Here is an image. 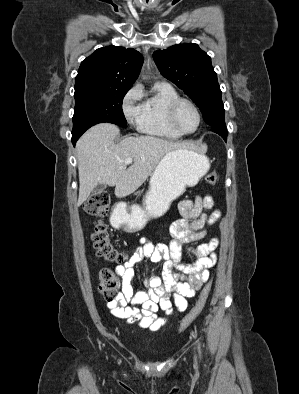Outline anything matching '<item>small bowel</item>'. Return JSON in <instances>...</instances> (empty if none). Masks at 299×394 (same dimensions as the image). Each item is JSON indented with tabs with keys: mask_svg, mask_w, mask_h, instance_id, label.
<instances>
[{
	"mask_svg": "<svg viewBox=\"0 0 299 394\" xmlns=\"http://www.w3.org/2000/svg\"><path fill=\"white\" fill-rule=\"evenodd\" d=\"M211 195L197 196L194 200L184 199L178 204L181 219L170 226L173 240L169 245L153 244L145 237L139 240V246L132 250L130 260L116 267V274L121 281V292L107 303L111 314L125 320L136 322L140 328L157 331L167 324L168 317H158L159 308L171 315L173 305L179 311L187 307L186 298L193 297L209 278L217 256L215 249L219 244L217 238L197 246H186L206 237L208 228L220 217V211L214 210ZM196 257L193 263L182 262V251ZM143 259L157 263L165 260L160 275L145 277V288L135 291L132 281L135 266ZM172 293V301L168 294Z\"/></svg>",
	"mask_w": 299,
	"mask_h": 394,
	"instance_id": "1",
	"label": "small bowel"
}]
</instances>
